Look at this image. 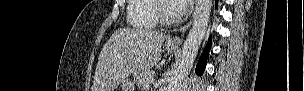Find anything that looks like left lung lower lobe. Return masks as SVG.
<instances>
[{"mask_svg": "<svg viewBox=\"0 0 304 91\" xmlns=\"http://www.w3.org/2000/svg\"><path fill=\"white\" fill-rule=\"evenodd\" d=\"M210 46H211V41L208 42L207 46L205 47L202 55H201V58L198 62V65H197V68H196V73L198 75H201L204 71V68L206 66V60H207V57H208V51L210 49Z\"/></svg>", "mask_w": 304, "mask_h": 91, "instance_id": "obj_1", "label": "left lung lower lobe"}]
</instances>
